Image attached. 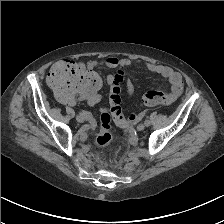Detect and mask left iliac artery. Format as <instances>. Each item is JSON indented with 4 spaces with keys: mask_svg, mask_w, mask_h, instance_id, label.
<instances>
[{
    "mask_svg": "<svg viewBox=\"0 0 224 224\" xmlns=\"http://www.w3.org/2000/svg\"><path fill=\"white\" fill-rule=\"evenodd\" d=\"M144 124H145V126H150V121L149 120H145V122H144Z\"/></svg>",
    "mask_w": 224,
    "mask_h": 224,
    "instance_id": "left-iliac-artery-1",
    "label": "left iliac artery"
}]
</instances>
